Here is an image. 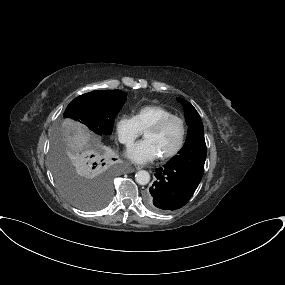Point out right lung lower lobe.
Returning <instances> with one entry per match:
<instances>
[{
  "label": "right lung lower lobe",
  "instance_id": "98d812e1",
  "mask_svg": "<svg viewBox=\"0 0 285 285\" xmlns=\"http://www.w3.org/2000/svg\"><path fill=\"white\" fill-rule=\"evenodd\" d=\"M96 169H98V168H97V167H96V168H91L92 171H93V170L95 171Z\"/></svg>",
  "mask_w": 285,
  "mask_h": 285
}]
</instances>
